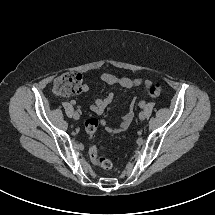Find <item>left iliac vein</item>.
<instances>
[{
	"label": "left iliac vein",
	"mask_w": 215,
	"mask_h": 215,
	"mask_svg": "<svg viewBox=\"0 0 215 215\" xmlns=\"http://www.w3.org/2000/svg\"><path fill=\"white\" fill-rule=\"evenodd\" d=\"M139 119L144 120L145 119V113H143V112L139 113Z\"/></svg>",
	"instance_id": "obj_1"
}]
</instances>
